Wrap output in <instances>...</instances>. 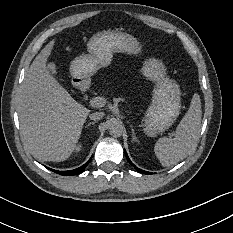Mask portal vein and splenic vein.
<instances>
[{
	"mask_svg": "<svg viewBox=\"0 0 233 233\" xmlns=\"http://www.w3.org/2000/svg\"><path fill=\"white\" fill-rule=\"evenodd\" d=\"M93 107H104L107 104V98L105 96H97L90 101Z\"/></svg>",
	"mask_w": 233,
	"mask_h": 233,
	"instance_id": "1",
	"label": "portal vein and splenic vein"
}]
</instances>
